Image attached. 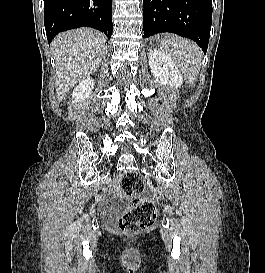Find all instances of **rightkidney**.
Wrapping results in <instances>:
<instances>
[{"instance_id":"obj_1","label":"right kidney","mask_w":265,"mask_h":273,"mask_svg":"<svg viewBox=\"0 0 265 273\" xmlns=\"http://www.w3.org/2000/svg\"><path fill=\"white\" fill-rule=\"evenodd\" d=\"M94 84V79L90 77L82 80L72 92V98L74 102H84L87 98H89L94 88Z\"/></svg>"}]
</instances>
